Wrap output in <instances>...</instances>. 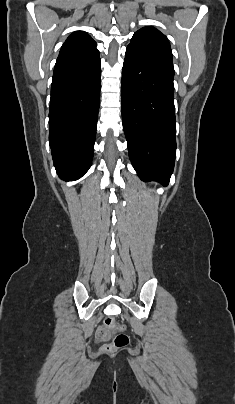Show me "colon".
Here are the masks:
<instances>
[{
  "mask_svg": "<svg viewBox=\"0 0 235 404\" xmlns=\"http://www.w3.org/2000/svg\"><path fill=\"white\" fill-rule=\"evenodd\" d=\"M106 329H100L97 332V340L99 342H107L111 337V332L123 330L124 326L118 322L114 317L108 316L104 321ZM129 336L125 333L117 334L111 342L104 345V348L108 352H112L126 347L129 344Z\"/></svg>",
  "mask_w": 235,
  "mask_h": 404,
  "instance_id": "5ec220e1",
  "label": "colon"
}]
</instances>
